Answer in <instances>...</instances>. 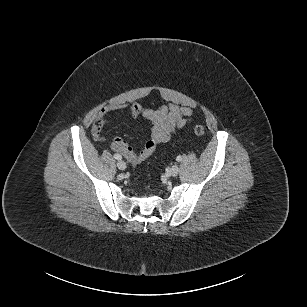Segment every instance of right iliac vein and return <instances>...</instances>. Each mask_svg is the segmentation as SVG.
Listing matches in <instances>:
<instances>
[{"label": "right iliac vein", "mask_w": 307, "mask_h": 307, "mask_svg": "<svg viewBox=\"0 0 307 307\" xmlns=\"http://www.w3.org/2000/svg\"><path fill=\"white\" fill-rule=\"evenodd\" d=\"M117 167H118V169H120V170H125V169H126V163H125L124 161H122V160H119V161L117 162Z\"/></svg>", "instance_id": "63e3f726"}]
</instances>
